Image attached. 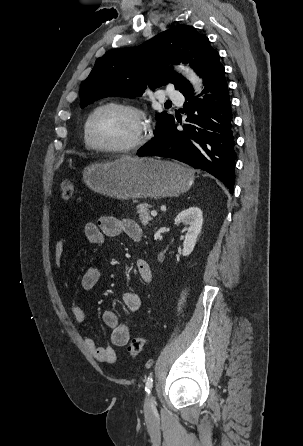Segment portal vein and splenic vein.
Returning a JSON list of instances; mask_svg holds the SVG:
<instances>
[{"instance_id":"portal-vein-and-splenic-vein-1","label":"portal vein and splenic vein","mask_w":303,"mask_h":446,"mask_svg":"<svg viewBox=\"0 0 303 446\" xmlns=\"http://www.w3.org/2000/svg\"><path fill=\"white\" fill-rule=\"evenodd\" d=\"M151 215L155 217V216H157V212L155 210H153V211H151Z\"/></svg>"}]
</instances>
